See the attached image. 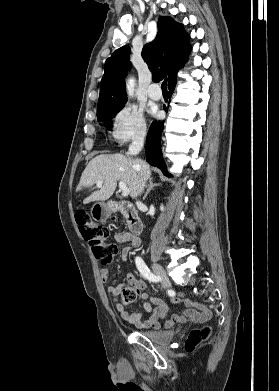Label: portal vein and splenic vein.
<instances>
[{
	"label": "portal vein and splenic vein",
	"instance_id": "1",
	"mask_svg": "<svg viewBox=\"0 0 279 391\" xmlns=\"http://www.w3.org/2000/svg\"><path fill=\"white\" fill-rule=\"evenodd\" d=\"M97 186H101L103 184V181H97ZM119 188L122 192V196L126 197L130 193V189L126 186V184L123 181L119 182Z\"/></svg>",
	"mask_w": 279,
	"mask_h": 391
}]
</instances>
